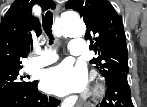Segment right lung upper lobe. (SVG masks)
I'll list each match as a JSON object with an SVG mask.
<instances>
[{
	"instance_id": "cb5924a9",
	"label": "right lung upper lobe",
	"mask_w": 147,
	"mask_h": 107,
	"mask_svg": "<svg viewBox=\"0 0 147 107\" xmlns=\"http://www.w3.org/2000/svg\"><path fill=\"white\" fill-rule=\"evenodd\" d=\"M43 11L55 8L52 0H15L0 24V70L20 65L33 48V40L41 34L40 23L32 17V7Z\"/></svg>"
}]
</instances>
